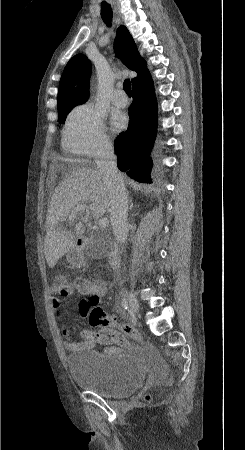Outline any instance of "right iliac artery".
I'll return each mask as SVG.
<instances>
[{
    "mask_svg": "<svg viewBox=\"0 0 245 450\" xmlns=\"http://www.w3.org/2000/svg\"><path fill=\"white\" fill-rule=\"evenodd\" d=\"M122 306H123L124 310L128 311V303L125 299H122Z\"/></svg>",
    "mask_w": 245,
    "mask_h": 450,
    "instance_id": "right-iliac-artery-1",
    "label": "right iliac artery"
}]
</instances>
